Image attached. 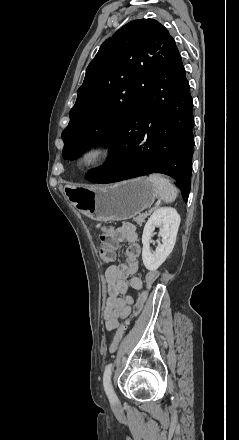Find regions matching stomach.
I'll return each instance as SVG.
<instances>
[{
	"label": "stomach",
	"instance_id": "stomach-1",
	"mask_svg": "<svg viewBox=\"0 0 239 440\" xmlns=\"http://www.w3.org/2000/svg\"><path fill=\"white\" fill-rule=\"evenodd\" d=\"M77 210L96 222L130 220L150 208L157 198L156 188L149 178H134L112 186L72 188Z\"/></svg>",
	"mask_w": 239,
	"mask_h": 440
}]
</instances>
